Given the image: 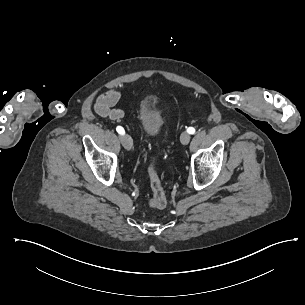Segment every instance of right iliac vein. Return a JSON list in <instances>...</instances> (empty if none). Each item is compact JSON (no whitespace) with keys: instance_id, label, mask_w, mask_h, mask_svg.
Here are the masks:
<instances>
[{"instance_id":"63e3f726","label":"right iliac vein","mask_w":305,"mask_h":305,"mask_svg":"<svg viewBox=\"0 0 305 305\" xmlns=\"http://www.w3.org/2000/svg\"><path fill=\"white\" fill-rule=\"evenodd\" d=\"M121 141L125 149L130 150L133 145V141L128 134L121 136Z\"/></svg>"}]
</instances>
